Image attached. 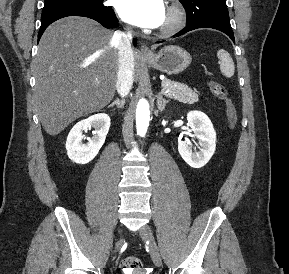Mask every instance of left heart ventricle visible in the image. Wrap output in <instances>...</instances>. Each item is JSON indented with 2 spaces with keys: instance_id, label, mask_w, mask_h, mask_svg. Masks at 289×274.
<instances>
[{
  "instance_id": "obj_1",
  "label": "left heart ventricle",
  "mask_w": 289,
  "mask_h": 274,
  "mask_svg": "<svg viewBox=\"0 0 289 274\" xmlns=\"http://www.w3.org/2000/svg\"><path fill=\"white\" fill-rule=\"evenodd\" d=\"M167 20H168V17H167V13H166V14H165V19H164L162 25H164V24L167 22Z\"/></svg>"
}]
</instances>
